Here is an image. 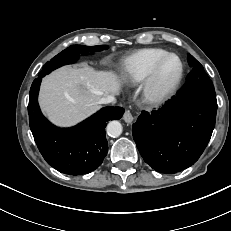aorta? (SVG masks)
<instances>
[{"instance_id": "aorta-1", "label": "aorta", "mask_w": 231, "mask_h": 231, "mask_svg": "<svg viewBox=\"0 0 231 231\" xmlns=\"http://www.w3.org/2000/svg\"><path fill=\"white\" fill-rule=\"evenodd\" d=\"M122 130H123L122 124L117 120H113L109 122V124L107 125V134L111 137L120 136Z\"/></svg>"}]
</instances>
